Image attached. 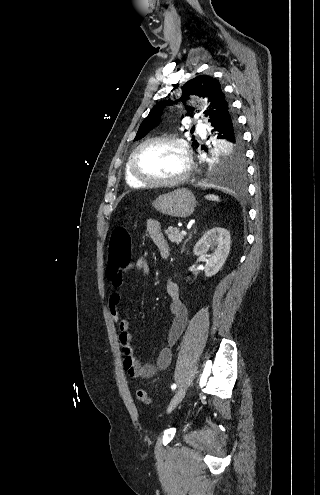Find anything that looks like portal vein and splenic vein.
Listing matches in <instances>:
<instances>
[{
	"label": "portal vein and splenic vein",
	"mask_w": 320,
	"mask_h": 495,
	"mask_svg": "<svg viewBox=\"0 0 320 495\" xmlns=\"http://www.w3.org/2000/svg\"><path fill=\"white\" fill-rule=\"evenodd\" d=\"M181 234L182 235H187V232L186 231H182Z\"/></svg>",
	"instance_id": "obj_1"
}]
</instances>
